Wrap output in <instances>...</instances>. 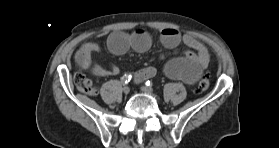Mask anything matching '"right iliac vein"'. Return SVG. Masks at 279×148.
<instances>
[{
	"label": "right iliac vein",
	"mask_w": 279,
	"mask_h": 148,
	"mask_svg": "<svg viewBox=\"0 0 279 148\" xmlns=\"http://www.w3.org/2000/svg\"><path fill=\"white\" fill-rule=\"evenodd\" d=\"M129 92H130V88L129 87L126 86V87L123 88V93L124 94H128Z\"/></svg>",
	"instance_id": "1"
}]
</instances>
